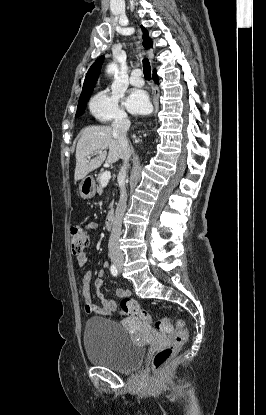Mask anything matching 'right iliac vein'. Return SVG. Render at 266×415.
Listing matches in <instances>:
<instances>
[{
  "mask_svg": "<svg viewBox=\"0 0 266 415\" xmlns=\"http://www.w3.org/2000/svg\"><path fill=\"white\" fill-rule=\"evenodd\" d=\"M114 263H115V265H116V266H118V267H121V266H122V260L115 259V260H114Z\"/></svg>",
  "mask_w": 266,
  "mask_h": 415,
  "instance_id": "63e3f726",
  "label": "right iliac vein"
}]
</instances>
